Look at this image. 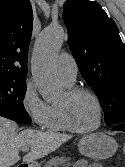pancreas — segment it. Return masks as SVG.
Listing matches in <instances>:
<instances>
[{
    "instance_id": "pancreas-1",
    "label": "pancreas",
    "mask_w": 125,
    "mask_h": 167,
    "mask_svg": "<svg viewBox=\"0 0 125 167\" xmlns=\"http://www.w3.org/2000/svg\"><path fill=\"white\" fill-rule=\"evenodd\" d=\"M70 158L68 157H55L50 159L44 167H59V166H65L69 167L70 166Z\"/></svg>"
}]
</instances>
